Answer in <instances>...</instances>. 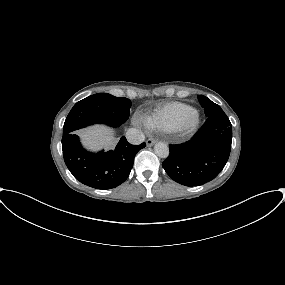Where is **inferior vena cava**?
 Here are the masks:
<instances>
[{"instance_id":"obj_1","label":"inferior vena cava","mask_w":285,"mask_h":285,"mask_svg":"<svg viewBox=\"0 0 285 285\" xmlns=\"http://www.w3.org/2000/svg\"><path fill=\"white\" fill-rule=\"evenodd\" d=\"M126 139L130 144L139 145L145 140L144 134L135 128H130L126 132Z\"/></svg>"}]
</instances>
